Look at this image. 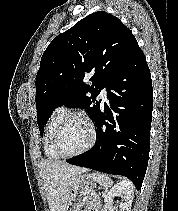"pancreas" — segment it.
Here are the masks:
<instances>
[{
    "label": "pancreas",
    "instance_id": "cf45deb5",
    "mask_svg": "<svg viewBox=\"0 0 178 211\" xmlns=\"http://www.w3.org/2000/svg\"><path fill=\"white\" fill-rule=\"evenodd\" d=\"M100 207V198L99 196L95 195L92 197H89L86 203V208L89 209V211H97V209Z\"/></svg>",
    "mask_w": 178,
    "mask_h": 211
}]
</instances>
